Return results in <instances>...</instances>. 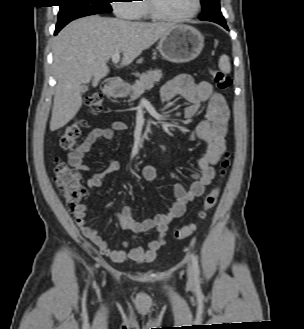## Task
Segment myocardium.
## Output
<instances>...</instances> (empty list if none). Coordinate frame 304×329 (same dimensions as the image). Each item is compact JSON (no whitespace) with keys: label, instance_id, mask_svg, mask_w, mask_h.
Returning a JSON list of instances; mask_svg holds the SVG:
<instances>
[{"label":"myocardium","instance_id":"obj_1","mask_svg":"<svg viewBox=\"0 0 304 329\" xmlns=\"http://www.w3.org/2000/svg\"><path fill=\"white\" fill-rule=\"evenodd\" d=\"M147 8L150 16L158 21H166V22H181L188 20L194 16H196L201 9V0H195L194 9L185 15L180 16H171L164 14L157 6L156 0H146Z\"/></svg>","mask_w":304,"mask_h":329}]
</instances>
